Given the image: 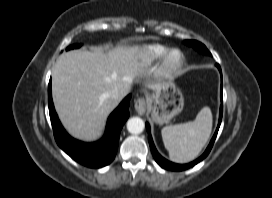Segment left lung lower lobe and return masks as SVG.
Returning a JSON list of instances; mask_svg holds the SVG:
<instances>
[{
	"mask_svg": "<svg viewBox=\"0 0 272 198\" xmlns=\"http://www.w3.org/2000/svg\"><path fill=\"white\" fill-rule=\"evenodd\" d=\"M218 67V69L220 70L221 72V68L220 66L217 64L216 65ZM222 94H223V89H222V84H221V101H223V97H222ZM222 112H223V104H221V107H220V116H219V123H218V127L216 129V132L213 136V138L211 139V142L209 144V146L207 147L206 151L204 152V154L199 157L197 160L189 163V164H184V165H180V164H175V163H172V162H169L168 160H166L165 158H163L156 150L155 146H154V143L152 141V137H151V134H150V126L148 123H146V128H147V131H148V140H149V144H150V148H151V151H152V154H153V157L155 159V161L164 169H168V170H173V171H182V170H185V169H188L190 167H193L194 165H196L198 162H200L201 160H203L207 155L208 153L210 152L212 146H213V143L215 141V138L217 136V132L219 130V127H220V124H221V120H222Z\"/></svg>",
	"mask_w": 272,
	"mask_h": 198,
	"instance_id": "1",
	"label": "left lung lower lobe"
}]
</instances>
